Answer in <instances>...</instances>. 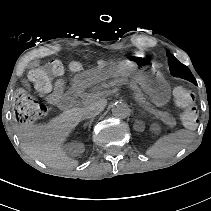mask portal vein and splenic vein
Returning <instances> with one entry per match:
<instances>
[{
	"mask_svg": "<svg viewBox=\"0 0 211 211\" xmlns=\"http://www.w3.org/2000/svg\"><path fill=\"white\" fill-rule=\"evenodd\" d=\"M145 112H147L148 110L146 108L143 109Z\"/></svg>",
	"mask_w": 211,
	"mask_h": 211,
	"instance_id": "obj_1",
	"label": "portal vein and splenic vein"
}]
</instances>
